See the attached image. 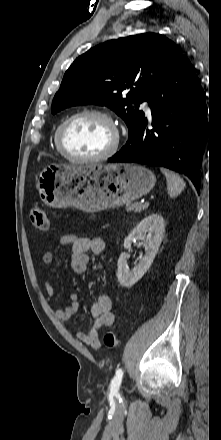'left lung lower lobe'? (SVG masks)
Segmentation results:
<instances>
[{
    "mask_svg": "<svg viewBox=\"0 0 221 440\" xmlns=\"http://www.w3.org/2000/svg\"><path fill=\"white\" fill-rule=\"evenodd\" d=\"M153 129L147 118L139 123L111 162L163 166L185 174L200 192L202 156L208 134L204 92L190 61L181 56L173 71L148 100Z\"/></svg>",
    "mask_w": 221,
    "mask_h": 440,
    "instance_id": "left-lung-lower-lobe-1",
    "label": "left lung lower lobe"
}]
</instances>
